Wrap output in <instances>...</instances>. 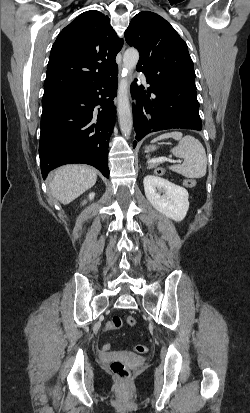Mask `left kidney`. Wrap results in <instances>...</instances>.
<instances>
[{"label": "left kidney", "instance_id": "5707ae66", "mask_svg": "<svg viewBox=\"0 0 250 413\" xmlns=\"http://www.w3.org/2000/svg\"><path fill=\"white\" fill-rule=\"evenodd\" d=\"M144 191L152 206L166 217L180 222L189 209V195L185 188L155 175H147Z\"/></svg>", "mask_w": 250, "mask_h": 413}]
</instances>
